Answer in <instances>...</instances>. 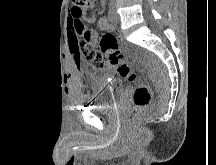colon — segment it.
I'll list each match as a JSON object with an SVG mask.
<instances>
[{
    "mask_svg": "<svg viewBox=\"0 0 216 165\" xmlns=\"http://www.w3.org/2000/svg\"><path fill=\"white\" fill-rule=\"evenodd\" d=\"M73 8L81 10L92 0H71ZM82 67L86 74L94 75L98 69L112 67L125 80L134 83L132 119L139 118L151 103V89L140 80L123 53L119 50L118 38L111 32H104L100 39L99 50L89 49L84 39L78 41ZM106 60L104 62L103 60Z\"/></svg>",
    "mask_w": 216,
    "mask_h": 165,
    "instance_id": "obj_1",
    "label": "colon"
}]
</instances>
